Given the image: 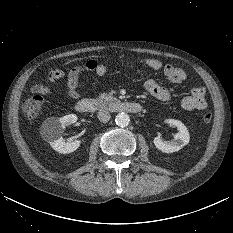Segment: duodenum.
I'll list each match as a JSON object with an SVG mask.
<instances>
[{"mask_svg":"<svg viewBox=\"0 0 233 233\" xmlns=\"http://www.w3.org/2000/svg\"><path fill=\"white\" fill-rule=\"evenodd\" d=\"M76 109L80 113H91L100 109L139 113L142 111V106L139 103L124 100L85 98L76 103Z\"/></svg>","mask_w":233,"mask_h":233,"instance_id":"duodenum-1","label":"duodenum"}]
</instances>
